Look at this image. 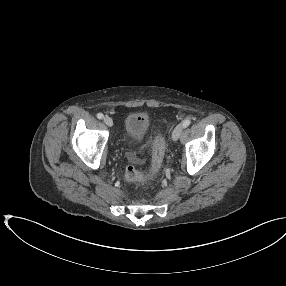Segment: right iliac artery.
Returning <instances> with one entry per match:
<instances>
[{"mask_svg": "<svg viewBox=\"0 0 286 286\" xmlns=\"http://www.w3.org/2000/svg\"><path fill=\"white\" fill-rule=\"evenodd\" d=\"M103 117H104V115H103L102 113H98V114H97V118H98V119H102Z\"/></svg>", "mask_w": 286, "mask_h": 286, "instance_id": "82829eb1", "label": "right iliac artery"}]
</instances>
